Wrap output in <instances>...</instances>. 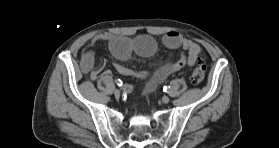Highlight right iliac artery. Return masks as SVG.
Returning <instances> with one entry per match:
<instances>
[{
    "label": "right iliac artery",
    "mask_w": 279,
    "mask_h": 148,
    "mask_svg": "<svg viewBox=\"0 0 279 148\" xmlns=\"http://www.w3.org/2000/svg\"><path fill=\"white\" fill-rule=\"evenodd\" d=\"M116 84L118 86H122L123 82L120 79L115 80Z\"/></svg>",
    "instance_id": "right-iliac-artery-1"
}]
</instances>
